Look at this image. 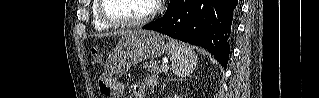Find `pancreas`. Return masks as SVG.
<instances>
[{
    "mask_svg": "<svg viewBox=\"0 0 319 98\" xmlns=\"http://www.w3.org/2000/svg\"><path fill=\"white\" fill-rule=\"evenodd\" d=\"M143 68L154 74H159L162 72V69H160L158 62L155 61L146 62L143 65Z\"/></svg>",
    "mask_w": 319,
    "mask_h": 98,
    "instance_id": "1",
    "label": "pancreas"
}]
</instances>
